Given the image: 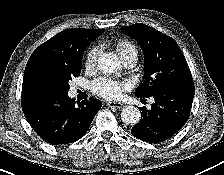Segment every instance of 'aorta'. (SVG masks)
<instances>
[{
  "label": "aorta",
  "instance_id": "obj_1",
  "mask_svg": "<svg viewBox=\"0 0 224 175\" xmlns=\"http://www.w3.org/2000/svg\"><path fill=\"white\" fill-rule=\"evenodd\" d=\"M99 68L107 74L116 73L121 69V62L111 52L103 54L98 59ZM140 111L135 106H126L121 112V119L125 124L135 125L140 121Z\"/></svg>",
  "mask_w": 224,
  "mask_h": 175
}]
</instances>
